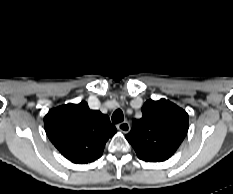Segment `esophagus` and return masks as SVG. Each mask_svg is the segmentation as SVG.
<instances>
[{
	"label": "esophagus",
	"mask_w": 233,
	"mask_h": 194,
	"mask_svg": "<svg viewBox=\"0 0 233 194\" xmlns=\"http://www.w3.org/2000/svg\"><path fill=\"white\" fill-rule=\"evenodd\" d=\"M117 128L123 133H128L131 130V126H130L129 122H127V121L119 123L117 125Z\"/></svg>",
	"instance_id": "1"
}]
</instances>
